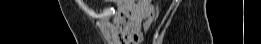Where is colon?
Returning <instances> with one entry per match:
<instances>
[{"label":"colon","mask_w":261,"mask_h":44,"mask_svg":"<svg viewBox=\"0 0 261 44\" xmlns=\"http://www.w3.org/2000/svg\"><path fill=\"white\" fill-rule=\"evenodd\" d=\"M141 2L147 5V15L144 24L145 31H148L155 19V7L151 0H141ZM115 5L119 6H136V1H115Z\"/></svg>","instance_id":"5ec220e1"}]
</instances>
